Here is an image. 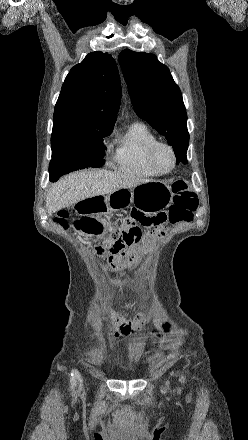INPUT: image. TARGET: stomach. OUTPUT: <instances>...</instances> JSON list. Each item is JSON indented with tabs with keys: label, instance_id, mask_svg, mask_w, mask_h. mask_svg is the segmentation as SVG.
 Instances as JSON below:
<instances>
[{
	"label": "stomach",
	"instance_id": "0dacf381",
	"mask_svg": "<svg viewBox=\"0 0 248 440\" xmlns=\"http://www.w3.org/2000/svg\"><path fill=\"white\" fill-rule=\"evenodd\" d=\"M171 187L161 181L142 183L134 188H123L101 197L95 196L85 203L75 204L74 211L78 218L72 219L74 232H83L85 237H91L89 244L97 246L103 238L101 232H109L110 224L104 223L108 211H116L128 207L134 201L150 211H160L167 208L172 200ZM99 239H98V238Z\"/></svg>",
	"mask_w": 248,
	"mask_h": 440
}]
</instances>
